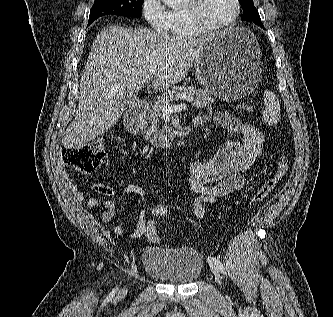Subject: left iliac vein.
<instances>
[{"instance_id": "4c4485c4", "label": "left iliac vein", "mask_w": 333, "mask_h": 317, "mask_svg": "<svg viewBox=\"0 0 333 317\" xmlns=\"http://www.w3.org/2000/svg\"><path fill=\"white\" fill-rule=\"evenodd\" d=\"M210 269H211V271L213 272V274H214V276H215V280H216V282H217L220 286H222V277H221V275H220V272H219L218 268H217L215 265L210 264Z\"/></svg>"}]
</instances>
